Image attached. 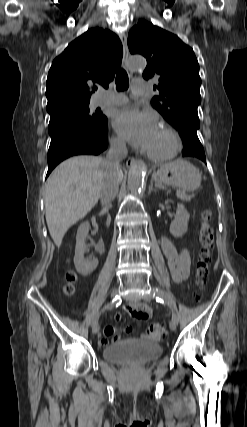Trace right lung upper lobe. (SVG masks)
<instances>
[{
  "label": "right lung upper lobe",
  "instance_id": "cb5924a9",
  "mask_svg": "<svg viewBox=\"0 0 247 427\" xmlns=\"http://www.w3.org/2000/svg\"><path fill=\"white\" fill-rule=\"evenodd\" d=\"M122 44L109 30L90 29L52 63L47 77V111L89 105L97 85L108 88L122 60Z\"/></svg>",
  "mask_w": 247,
  "mask_h": 427
}]
</instances>
